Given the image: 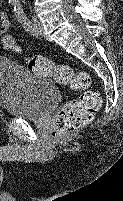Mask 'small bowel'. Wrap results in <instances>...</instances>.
Masks as SVG:
<instances>
[{
  "label": "small bowel",
  "instance_id": "c3829d8e",
  "mask_svg": "<svg viewBox=\"0 0 123 201\" xmlns=\"http://www.w3.org/2000/svg\"><path fill=\"white\" fill-rule=\"evenodd\" d=\"M10 27V22L6 13L0 11V38L2 40L7 37V32Z\"/></svg>",
  "mask_w": 123,
  "mask_h": 201
}]
</instances>
